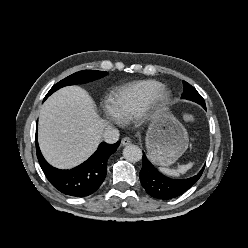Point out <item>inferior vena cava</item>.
Returning a JSON list of instances; mask_svg holds the SVG:
<instances>
[{"label":"inferior vena cava","instance_id":"inferior-vena-cava-1","mask_svg":"<svg viewBox=\"0 0 248 248\" xmlns=\"http://www.w3.org/2000/svg\"><path fill=\"white\" fill-rule=\"evenodd\" d=\"M103 140L107 143H115L119 140V131L116 128L108 127L103 133Z\"/></svg>","mask_w":248,"mask_h":248}]
</instances>
